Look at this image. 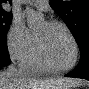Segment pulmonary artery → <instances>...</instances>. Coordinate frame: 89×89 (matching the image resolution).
Wrapping results in <instances>:
<instances>
[{"label":"pulmonary artery","mask_w":89,"mask_h":89,"mask_svg":"<svg viewBox=\"0 0 89 89\" xmlns=\"http://www.w3.org/2000/svg\"><path fill=\"white\" fill-rule=\"evenodd\" d=\"M32 2H34L35 4H45V3H47L46 0H33Z\"/></svg>","instance_id":"1"}]
</instances>
